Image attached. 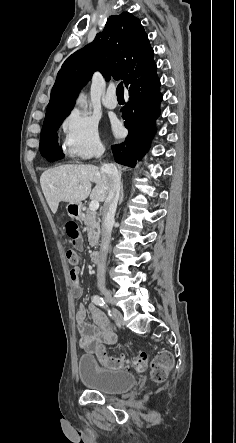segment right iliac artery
Returning <instances> with one entry per match:
<instances>
[{
	"mask_svg": "<svg viewBox=\"0 0 236 443\" xmlns=\"http://www.w3.org/2000/svg\"><path fill=\"white\" fill-rule=\"evenodd\" d=\"M92 302H93L94 304L98 305V306H101V307H104V308L107 307V305H105V302H104L103 298L100 297V296H98V295H94V296L92 297ZM108 314H109V316L112 317V314H110V310H108Z\"/></svg>",
	"mask_w": 236,
	"mask_h": 443,
	"instance_id": "obj_1",
	"label": "right iliac artery"
}]
</instances>
